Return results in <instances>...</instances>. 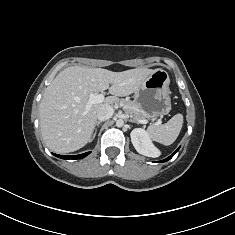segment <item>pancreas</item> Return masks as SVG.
<instances>
[{
    "label": "pancreas",
    "instance_id": "obj_1",
    "mask_svg": "<svg viewBox=\"0 0 235 235\" xmlns=\"http://www.w3.org/2000/svg\"><path fill=\"white\" fill-rule=\"evenodd\" d=\"M121 104L125 113L130 114L133 120L139 121L148 118V115L134 101L123 99Z\"/></svg>",
    "mask_w": 235,
    "mask_h": 235
}]
</instances>
